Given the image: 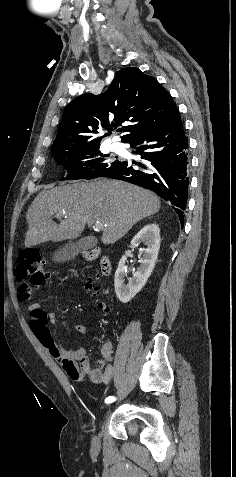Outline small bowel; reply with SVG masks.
Wrapping results in <instances>:
<instances>
[{
    "mask_svg": "<svg viewBox=\"0 0 236 477\" xmlns=\"http://www.w3.org/2000/svg\"><path fill=\"white\" fill-rule=\"evenodd\" d=\"M28 312L33 334L50 356L61 364L63 370L72 380L80 382L88 377L97 384H108L111 381L114 373L111 342H105L101 348V354L107 361L105 370L92 369L86 347L80 345L73 350H68L56 340L53 330L56 323L55 313L45 311L41 303L38 302L31 303L28 306ZM73 332L75 335H86L89 328L85 325H75Z\"/></svg>",
    "mask_w": 236,
    "mask_h": 477,
    "instance_id": "obj_1",
    "label": "small bowel"
}]
</instances>
